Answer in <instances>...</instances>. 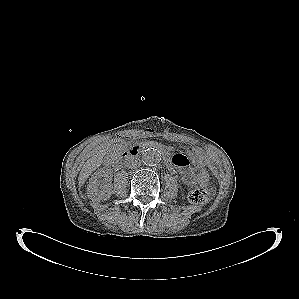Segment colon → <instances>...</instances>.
Wrapping results in <instances>:
<instances>
[{
    "mask_svg": "<svg viewBox=\"0 0 299 299\" xmlns=\"http://www.w3.org/2000/svg\"><path fill=\"white\" fill-rule=\"evenodd\" d=\"M195 181L200 185L199 187L191 190L188 194V200L197 205H203L210 201L211 192L206 188L209 180V175L206 170L199 169L194 174Z\"/></svg>",
    "mask_w": 299,
    "mask_h": 299,
    "instance_id": "colon-1",
    "label": "colon"
}]
</instances>
